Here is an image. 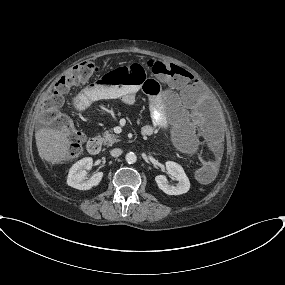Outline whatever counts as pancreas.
Returning <instances> with one entry per match:
<instances>
[{
  "mask_svg": "<svg viewBox=\"0 0 285 285\" xmlns=\"http://www.w3.org/2000/svg\"><path fill=\"white\" fill-rule=\"evenodd\" d=\"M102 141L104 145L112 146L114 143L120 141L119 136L114 134L111 130H107L103 133Z\"/></svg>",
  "mask_w": 285,
  "mask_h": 285,
  "instance_id": "pancreas-1",
  "label": "pancreas"
}]
</instances>
